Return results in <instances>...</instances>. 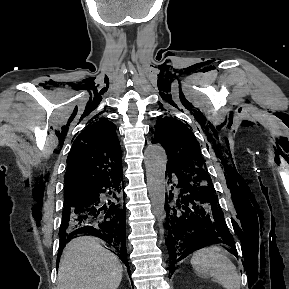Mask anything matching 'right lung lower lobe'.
I'll list each match as a JSON object with an SVG mask.
<instances>
[{"instance_id":"right-lung-lower-lobe-1","label":"right lung lower lobe","mask_w":289,"mask_h":289,"mask_svg":"<svg viewBox=\"0 0 289 289\" xmlns=\"http://www.w3.org/2000/svg\"><path fill=\"white\" fill-rule=\"evenodd\" d=\"M122 174L116 179H106L88 191L73 195L78 197L70 206L64 205L63 218L59 230L60 248L57 265L66 243L78 234L96 236L104 240L123 261L130 273L125 243V203L119 196ZM110 191V199H102L103 193ZM125 200V199H124Z\"/></svg>"}]
</instances>
